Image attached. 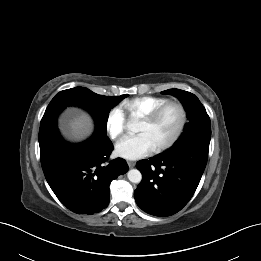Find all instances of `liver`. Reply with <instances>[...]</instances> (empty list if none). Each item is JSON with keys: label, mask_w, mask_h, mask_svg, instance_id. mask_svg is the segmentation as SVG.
<instances>
[{"label": "liver", "mask_w": 261, "mask_h": 261, "mask_svg": "<svg viewBox=\"0 0 261 261\" xmlns=\"http://www.w3.org/2000/svg\"><path fill=\"white\" fill-rule=\"evenodd\" d=\"M92 129V120L85 113L80 114L70 123V134L76 139H81L89 135Z\"/></svg>", "instance_id": "obj_1"}]
</instances>
